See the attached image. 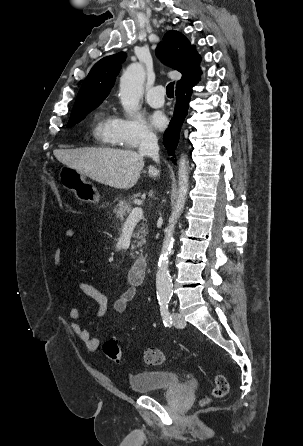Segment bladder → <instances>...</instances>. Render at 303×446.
<instances>
[{
  "mask_svg": "<svg viewBox=\"0 0 303 446\" xmlns=\"http://www.w3.org/2000/svg\"><path fill=\"white\" fill-rule=\"evenodd\" d=\"M182 384V379L177 373L164 370H147L129 377L130 389L136 394L166 391Z\"/></svg>",
  "mask_w": 303,
  "mask_h": 446,
  "instance_id": "obj_1",
  "label": "bladder"
}]
</instances>
